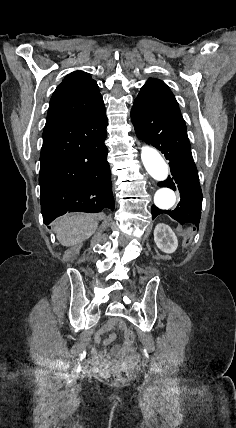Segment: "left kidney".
<instances>
[{
    "label": "left kidney",
    "instance_id": "5707ae66",
    "mask_svg": "<svg viewBox=\"0 0 236 428\" xmlns=\"http://www.w3.org/2000/svg\"><path fill=\"white\" fill-rule=\"evenodd\" d=\"M154 242L157 248L166 254H173L178 246L174 232L166 224H157L154 230Z\"/></svg>",
    "mask_w": 236,
    "mask_h": 428
}]
</instances>
